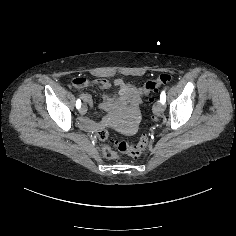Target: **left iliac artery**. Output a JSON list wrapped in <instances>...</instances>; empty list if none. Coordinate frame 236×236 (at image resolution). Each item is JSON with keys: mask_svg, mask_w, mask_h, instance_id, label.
I'll return each mask as SVG.
<instances>
[{"mask_svg": "<svg viewBox=\"0 0 236 236\" xmlns=\"http://www.w3.org/2000/svg\"><path fill=\"white\" fill-rule=\"evenodd\" d=\"M166 101V94H165V91H162L161 95H160V102L162 104H164Z\"/></svg>", "mask_w": 236, "mask_h": 236, "instance_id": "left-iliac-artery-1", "label": "left iliac artery"}]
</instances>
